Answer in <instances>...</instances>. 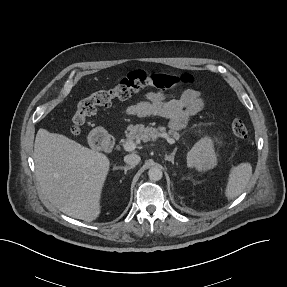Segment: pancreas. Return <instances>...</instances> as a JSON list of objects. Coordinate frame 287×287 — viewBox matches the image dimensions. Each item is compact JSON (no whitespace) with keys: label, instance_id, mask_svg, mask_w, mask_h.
<instances>
[{"label":"pancreas","instance_id":"obj_1","mask_svg":"<svg viewBox=\"0 0 287 287\" xmlns=\"http://www.w3.org/2000/svg\"><path fill=\"white\" fill-rule=\"evenodd\" d=\"M126 140H142L143 142L155 141L157 138L163 137L164 135L171 136L176 140L180 139V134L172 129L166 130L165 127H145L143 124L130 125L127 127Z\"/></svg>","mask_w":287,"mask_h":287}]
</instances>
